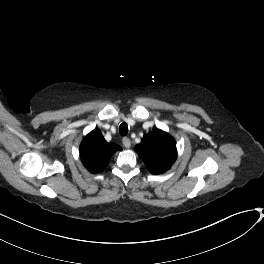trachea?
<instances>
[{
    "label": "trachea",
    "instance_id": "1",
    "mask_svg": "<svg viewBox=\"0 0 264 264\" xmlns=\"http://www.w3.org/2000/svg\"><path fill=\"white\" fill-rule=\"evenodd\" d=\"M119 132L122 136H125L127 135L128 133V125L126 123H122L120 126H119Z\"/></svg>",
    "mask_w": 264,
    "mask_h": 264
}]
</instances>
